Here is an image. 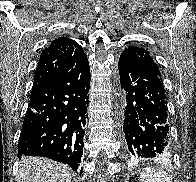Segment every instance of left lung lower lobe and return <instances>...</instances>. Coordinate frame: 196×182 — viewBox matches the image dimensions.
Instances as JSON below:
<instances>
[{"label": "left lung lower lobe", "mask_w": 196, "mask_h": 182, "mask_svg": "<svg viewBox=\"0 0 196 182\" xmlns=\"http://www.w3.org/2000/svg\"><path fill=\"white\" fill-rule=\"evenodd\" d=\"M119 74L125 91V153L130 159L168 156L169 118L161 79L151 70L121 55Z\"/></svg>", "instance_id": "left-lung-lower-lobe-1"}]
</instances>
